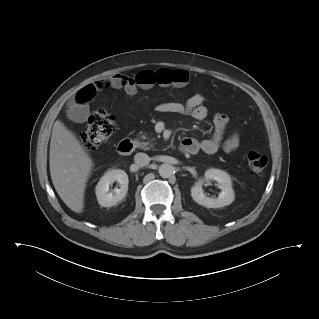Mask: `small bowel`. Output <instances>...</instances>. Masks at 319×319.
<instances>
[{
  "instance_id": "small-bowel-1",
  "label": "small bowel",
  "mask_w": 319,
  "mask_h": 319,
  "mask_svg": "<svg viewBox=\"0 0 319 319\" xmlns=\"http://www.w3.org/2000/svg\"><path fill=\"white\" fill-rule=\"evenodd\" d=\"M188 80V72L183 69L144 70L137 74L135 78L121 74L111 75L80 89L76 97V103L71 108V115L75 121H84L89 114V108L85 102L91 100L97 92L107 88L122 89L128 95L133 96L137 93L138 87L149 89L155 84L163 87L183 86ZM204 103V96L200 93H195L184 103L166 102L159 104L157 111L161 113L186 114L198 121H203L209 115L208 108ZM228 121V117L224 113H216L213 117L214 132L211 138L198 141L189 137L184 139L182 143L187 144L190 154H196L199 151L214 154L219 149H223L227 153H233L239 147L240 138L236 132L227 137L225 136Z\"/></svg>"
}]
</instances>
